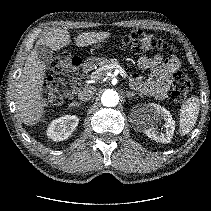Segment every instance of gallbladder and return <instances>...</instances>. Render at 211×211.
Returning a JSON list of instances; mask_svg holds the SVG:
<instances>
[{
  "label": "gallbladder",
  "instance_id": "1",
  "mask_svg": "<svg viewBox=\"0 0 211 211\" xmlns=\"http://www.w3.org/2000/svg\"><path fill=\"white\" fill-rule=\"evenodd\" d=\"M38 58L44 64H48L53 60V52L48 46H38L36 48Z\"/></svg>",
  "mask_w": 211,
  "mask_h": 211
}]
</instances>
